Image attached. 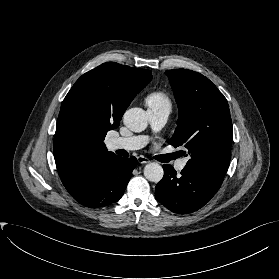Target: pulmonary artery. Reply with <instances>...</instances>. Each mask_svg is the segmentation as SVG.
I'll list each match as a JSON object with an SVG mask.
<instances>
[{
  "instance_id": "1",
  "label": "pulmonary artery",
  "mask_w": 279,
  "mask_h": 279,
  "mask_svg": "<svg viewBox=\"0 0 279 279\" xmlns=\"http://www.w3.org/2000/svg\"><path fill=\"white\" fill-rule=\"evenodd\" d=\"M170 110L168 109H149L148 117L151 126L154 129L163 127L169 117ZM147 143L145 136H131V137H116L110 141V147L114 150L124 149L127 151L137 150L142 148ZM186 165V160L181 159L175 163V169L182 171Z\"/></svg>"
}]
</instances>
